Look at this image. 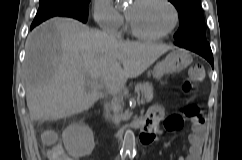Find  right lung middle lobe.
I'll return each mask as SVG.
<instances>
[{
  "mask_svg": "<svg viewBox=\"0 0 242 160\" xmlns=\"http://www.w3.org/2000/svg\"><path fill=\"white\" fill-rule=\"evenodd\" d=\"M91 0H40L39 9L31 26L56 16L70 17L87 22L88 5Z\"/></svg>",
  "mask_w": 242,
  "mask_h": 160,
  "instance_id": "obj_1",
  "label": "right lung middle lobe"
}]
</instances>
